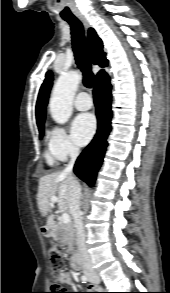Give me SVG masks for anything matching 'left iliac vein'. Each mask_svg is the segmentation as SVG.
<instances>
[{
    "instance_id": "1",
    "label": "left iliac vein",
    "mask_w": 170,
    "mask_h": 293,
    "mask_svg": "<svg viewBox=\"0 0 170 293\" xmlns=\"http://www.w3.org/2000/svg\"><path fill=\"white\" fill-rule=\"evenodd\" d=\"M89 281L93 284H99L100 283V277L97 273H91L88 275Z\"/></svg>"
}]
</instances>
